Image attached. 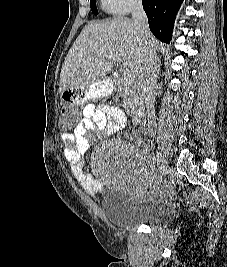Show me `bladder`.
Listing matches in <instances>:
<instances>
[{"mask_svg": "<svg viewBox=\"0 0 227 267\" xmlns=\"http://www.w3.org/2000/svg\"><path fill=\"white\" fill-rule=\"evenodd\" d=\"M102 209L112 225L123 229L167 224L174 219L172 208L159 200H138L115 187L106 190Z\"/></svg>", "mask_w": 227, "mask_h": 267, "instance_id": "1", "label": "bladder"}]
</instances>
